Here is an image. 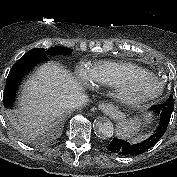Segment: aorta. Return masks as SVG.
Here are the masks:
<instances>
[{
	"mask_svg": "<svg viewBox=\"0 0 177 177\" xmlns=\"http://www.w3.org/2000/svg\"><path fill=\"white\" fill-rule=\"evenodd\" d=\"M95 129L99 136L103 138H110L114 134V126L108 119H99L95 123Z\"/></svg>",
	"mask_w": 177,
	"mask_h": 177,
	"instance_id": "1",
	"label": "aorta"
}]
</instances>
